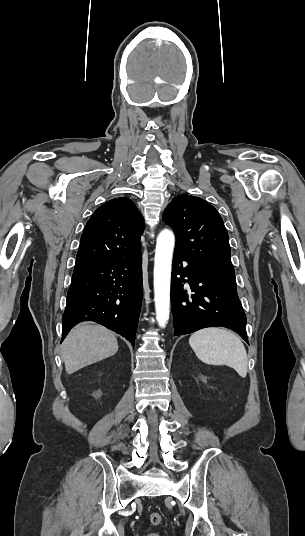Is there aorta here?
<instances>
[{
  "label": "aorta",
  "mask_w": 305,
  "mask_h": 536,
  "mask_svg": "<svg viewBox=\"0 0 305 536\" xmlns=\"http://www.w3.org/2000/svg\"><path fill=\"white\" fill-rule=\"evenodd\" d=\"M175 246L174 233L164 229L157 237L154 258V301L156 319L164 328L170 313V283L172 258Z\"/></svg>",
  "instance_id": "1"
}]
</instances>
